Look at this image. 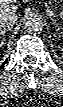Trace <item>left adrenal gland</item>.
I'll use <instances>...</instances> for the list:
<instances>
[{
  "mask_svg": "<svg viewBox=\"0 0 63 107\" xmlns=\"http://www.w3.org/2000/svg\"><path fill=\"white\" fill-rule=\"evenodd\" d=\"M51 20H52L53 24L56 26L57 35L60 36V33H58V32L62 27L60 26V24L55 19L51 18Z\"/></svg>",
  "mask_w": 63,
  "mask_h": 107,
  "instance_id": "1",
  "label": "left adrenal gland"
}]
</instances>
